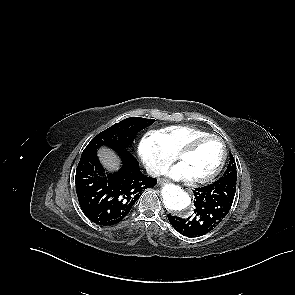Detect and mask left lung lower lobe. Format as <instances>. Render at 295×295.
<instances>
[{
    "instance_id": "left-lung-lower-lobe-1",
    "label": "left lung lower lobe",
    "mask_w": 295,
    "mask_h": 295,
    "mask_svg": "<svg viewBox=\"0 0 295 295\" xmlns=\"http://www.w3.org/2000/svg\"><path fill=\"white\" fill-rule=\"evenodd\" d=\"M236 178L224 177L196 188L195 215L181 219L168 215L172 226L184 236L198 237L213 230L228 214L236 192Z\"/></svg>"
}]
</instances>
